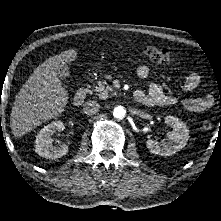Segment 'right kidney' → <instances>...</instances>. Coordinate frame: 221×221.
Masks as SVG:
<instances>
[{"instance_id": "1", "label": "right kidney", "mask_w": 221, "mask_h": 221, "mask_svg": "<svg viewBox=\"0 0 221 221\" xmlns=\"http://www.w3.org/2000/svg\"><path fill=\"white\" fill-rule=\"evenodd\" d=\"M63 129L62 121H54L40 130L36 137V153L47 159H57L67 154L69 148L66 144L53 145L52 135Z\"/></svg>"}]
</instances>
